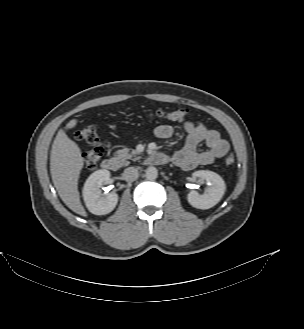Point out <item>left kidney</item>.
<instances>
[{"mask_svg": "<svg viewBox=\"0 0 304 329\" xmlns=\"http://www.w3.org/2000/svg\"><path fill=\"white\" fill-rule=\"evenodd\" d=\"M192 176L194 180H205L209 187L206 193L202 195L196 191H191L187 197L189 204L197 209H209L215 206L221 200L226 190L222 177L209 170L195 171Z\"/></svg>", "mask_w": 304, "mask_h": 329, "instance_id": "obj_1", "label": "left kidney"}]
</instances>
